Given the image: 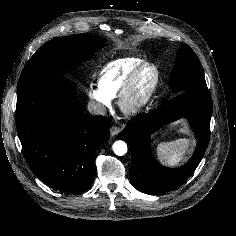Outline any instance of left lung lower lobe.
Masks as SVG:
<instances>
[{"mask_svg":"<svg viewBox=\"0 0 236 236\" xmlns=\"http://www.w3.org/2000/svg\"><path fill=\"white\" fill-rule=\"evenodd\" d=\"M212 100L208 89L179 93L153 112L125 127L132 153L131 180L147 194L168 192L180 187L199 165L210 138ZM180 117L189 119L197 138L192 158L182 167L171 169L159 164L150 149V135Z\"/></svg>","mask_w":236,"mask_h":236,"instance_id":"0a47b994","label":"left lung lower lobe"}]
</instances>
